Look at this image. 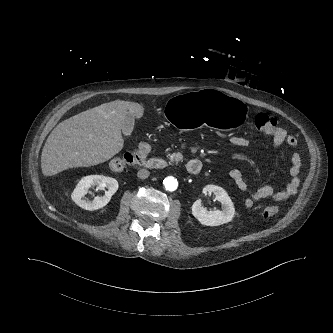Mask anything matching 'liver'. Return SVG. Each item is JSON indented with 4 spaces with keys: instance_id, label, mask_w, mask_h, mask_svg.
<instances>
[{
    "instance_id": "liver-1",
    "label": "liver",
    "mask_w": 333,
    "mask_h": 333,
    "mask_svg": "<svg viewBox=\"0 0 333 333\" xmlns=\"http://www.w3.org/2000/svg\"><path fill=\"white\" fill-rule=\"evenodd\" d=\"M130 113L143 116L141 104L115 100L81 112L59 123L48 136L41 155L45 176L73 167L94 166L122 150V123Z\"/></svg>"
}]
</instances>
